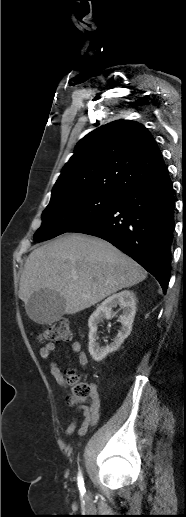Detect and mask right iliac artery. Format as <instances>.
I'll return each mask as SVG.
<instances>
[{"label":"right iliac artery","instance_id":"82829eb1","mask_svg":"<svg viewBox=\"0 0 186 517\" xmlns=\"http://www.w3.org/2000/svg\"><path fill=\"white\" fill-rule=\"evenodd\" d=\"M78 487H79L80 491H84L85 490L83 476H82V473L80 471L78 473Z\"/></svg>","mask_w":186,"mask_h":517}]
</instances>
